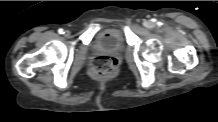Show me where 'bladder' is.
<instances>
[{
  "label": "bladder",
  "instance_id": "1",
  "mask_svg": "<svg viewBox=\"0 0 218 122\" xmlns=\"http://www.w3.org/2000/svg\"><path fill=\"white\" fill-rule=\"evenodd\" d=\"M93 46L100 50H121L124 47L123 34L116 28L104 30L95 37Z\"/></svg>",
  "mask_w": 218,
  "mask_h": 122
}]
</instances>
